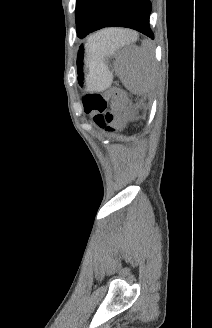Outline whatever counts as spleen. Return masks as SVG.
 I'll return each mask as SVG.
<instances>
[{
  "mask_svg": "<svg viewBox=\"0 0 212 328\" xmlns=\"http://www.w3.org/2000/svg\"><path fill=\"white\" fill-rule=\"evenodd\" d=\"M123 44L113 42L110 30L100 31L89 37L86 47L97 57L112 55ZM124 86L135 94H146L155 87L156 68L148 41L141 47L132 46L125 50V58L117 71Z\"/></svg>",
  "mask_w": 212,
  "mask_h": 328,
  "instance_id": "1",
  "label": "spleen"
}]
</instances>
